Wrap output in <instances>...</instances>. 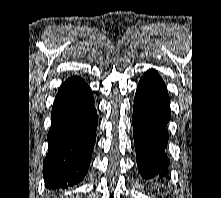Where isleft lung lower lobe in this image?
Segmentation results:
<instances>
[{"label":"left lung lower lobe","mask_w":221,"mask_h":198,"mask_svg":"<svg viewBox=\"0 0 221 198\" xmlns=\"http://www.w3.org/2000/svg\"><path fill=\"white\" fill-rule=\"evenodd\" d=\"M167 88L158 72L151 69L140 79L134 98L133 133L137 164L145 179L163 178L169 160L167 123L171 117Z\"/></svg>","instance_id":"obj_1"}]
</instances>
